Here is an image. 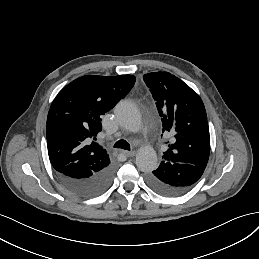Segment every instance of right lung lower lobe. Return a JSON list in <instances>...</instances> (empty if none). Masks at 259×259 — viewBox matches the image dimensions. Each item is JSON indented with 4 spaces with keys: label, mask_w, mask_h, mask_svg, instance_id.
I'll list each match as a JSON object with an SVG mask.
<instances>
[{
    "label": "right lung lower lobe",
    "mask_w": 259,
    "mask_h": 259,
    "mask_svg": "<svg viewBox=\"0 0 259 259\" xmlns=\"http://www.w3.org/2000/svg\"><path fill=\"white\" fill-rule=\"evenodd\" d=\"M55 173L62 185L72 194L82 198H90L102 194L110 187L115 168L109 164L102 171L84 179L72 178L56 171Z\"/></svg>",
    "instance_id": "1"
}]
</instances>
